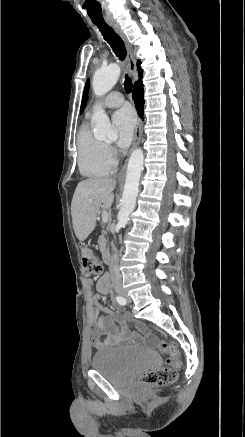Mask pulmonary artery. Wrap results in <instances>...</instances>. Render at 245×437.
<instances>
[{"label":"pulmonary artery","instance_id":"pulmonary-artery-1","mask_svg":"<svg viewBox=\"0 0 245 437\" xmlns=\"http://www.w3.org/2000/svg\"><path fill=\"white\" fill-rule=\"evenodd\" d=\"M124 103V97L120 92L113 91L109 93L102 101L96 103L93 108L96 107H107L116 108ZM91 115V111L88 112V116Z\"/></svg>","mask_w":245,"mask_h":437}]
</instances>
